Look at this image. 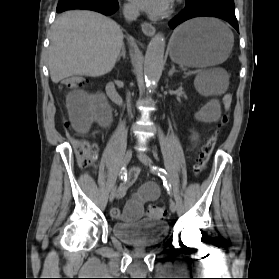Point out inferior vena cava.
<instances>
[{
	"label": "inferior vena cava",
	"mask_w": 279,
	"mask_h": 279,
	"mask_svg": "<svg viewBox=\"0 0 279 279\" xmlns=\"http://www.w3.org/2000/svg\"><path fill=\"white\" fill-rule=\"evenodd\" d=\"M123 15L127 21H135L139 16V9L133 5H125L123 8ZM127 102L129 107V113L131 114L130 94L127 95Z\"/></svg>",
	"instance_id": "602c4592"
}]
</instances>
